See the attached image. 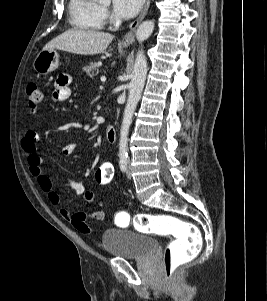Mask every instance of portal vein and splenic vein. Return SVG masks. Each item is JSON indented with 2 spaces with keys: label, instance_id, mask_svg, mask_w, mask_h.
Instances as JSON below:
<instances>
[{
  "label": "portal vein and splenic vein",
  "instance_id": "obj_1",
  "mask_svg": "<svg viewBox=\"0 0 267 301\" xmlns=\"http://www.w3.org/2000/svg\"><path fill=\"white\" fill-rule=\"evenodd\" d=\"M100 79H101L102 82L106 81V77L105 76H102Z\"/></svg>",
  "mask_w": 267,
  "mask_h": 301
}]
</instances>
